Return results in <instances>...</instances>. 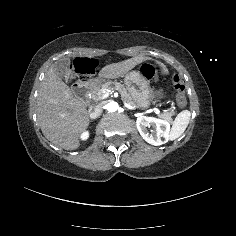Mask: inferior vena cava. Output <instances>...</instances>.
Returning a JSON list of instances; mask_svg holds the SVG:
<instances>
[{
	"mask_svg": "<svg viewBox=\"0 0 236 236\" xmlns=\"http://www.w3.org/2000/svg\"><path fill=\"white\" fill-rule=\"evenodd\" d=\"M102 112V105L101 104H95L91 110H90V118L91 119H96L97 117L100 116Z\"/></svg>",
	"mask_w": 236,
	"mask_h": 236,
	"instance_id": "1",
	"label": "inferior vena cava"
}]
</instances>
